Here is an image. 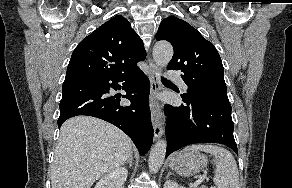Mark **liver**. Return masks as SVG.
Wrapping results in <instances>:
<instances>
[{
	"instance_id": "obj_1",
	"label": "liver",
	"mask_w": 292,
	"mask_h": 188,
	"mask_svg": "<svg viewBox=\"0 0 292 188\" xmlns=\"http://www.w3.org/2000/svg\"><path fill=\"white\" fill-rule=\"evenodd\" d=\"M132 154L130 138L101 119L65 121L51 166L52 188H91L102 175L120 168Z\"/></svg>"
}]
</instances>
